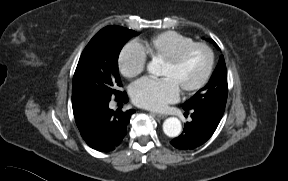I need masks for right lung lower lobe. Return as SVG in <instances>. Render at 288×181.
Here are the masks:
<instances>
[{"label": "right lung lower lobe", "mask_w": 288, "mask_h": 181, "mask_svg": "<svg viewBox=\"0 0 288 181\" xmlns=\"http://www.w3.org/2000/svg\"><path fill=\"white\" fill-rule=\"evenodd\" d=\"M116 98L123 102L128 100L125 92ZM108 105L109 102L98 107L89 127L81 133L91 148L101 152L112 151L121 144L126 135L130 116L135 112V110L123 112L119 109L113 111Z\"/></svg>", "instance_id": "right-lung-lower-lobe-1"}]
</instances>
